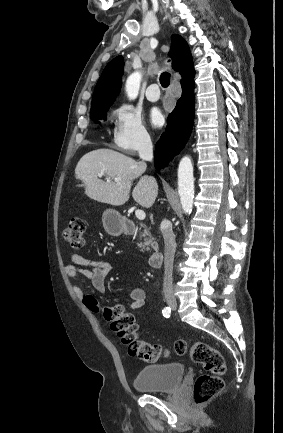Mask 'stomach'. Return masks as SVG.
<instances>
[{
	"instance_id": "0dacf381",
	"label": "stomach",
	"mask_w": 283,
	"mask_h": 433,
	"mask_svg": "<svg viewBox=\"0 0 283 433\" xmlns=\"http://www.w3.org/2000/svg\"><path fill=\"white\" fill-rule=\"evenodd\" d=\"M103 217L105 219V229L109 235L113 237H119L121 233H124L126 229V217H122V214L114 208H107L104 210Z\"/></svg>"
}]
</instances>
